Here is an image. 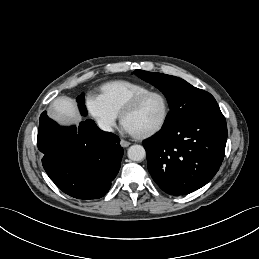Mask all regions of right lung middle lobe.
Returning a JSON list of instances; mask_svg holds the SVG:
<instances>
[{
	"mask_svg": "<svg viewBox=\"0 0 259 259\" xmlns=\"http://www.w3.org/2000/svg\"><path fill=\"white\" fill-rule=\"evenodd\" d=\"M77 102H78V106L81 111V114L86 115L87 111H86V107L84 105V95L83 94L77 97Z\"/></svg>",
	"mask_w": 259,
	"mask_h": 259,
	"instance_id": "dd1d6c3e",
	"label": "right lung middle lobe"
}]
</instances>
